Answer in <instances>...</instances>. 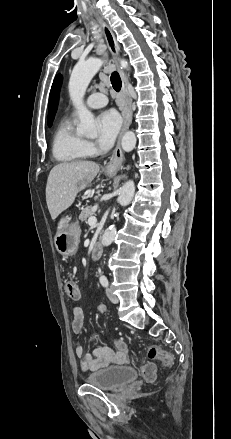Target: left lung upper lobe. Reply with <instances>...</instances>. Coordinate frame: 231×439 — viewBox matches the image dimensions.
I'll return each instance as SVG.
<instances>
[{
    "mask_svg": "<svg viewBox=\"0 0 231 439\" xmlns=\"http://www.w3.org/2000/svg\"><path fill=\"white\" fill-rule=\"evenodd\" d=\"M62 83V76L57 75L54 79L51 91H50V97H49V111H48V126L52 125V122L55 117V113L58 106V97H59V90Z\"/></svg>",
    "mask_w": 231,
    "mask_h": 439,
    "instance_id": "obj_1",
    "label": "left lung upper lobe"
}]
</instances>
